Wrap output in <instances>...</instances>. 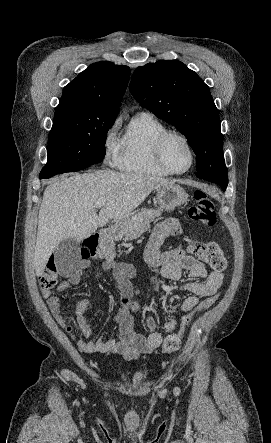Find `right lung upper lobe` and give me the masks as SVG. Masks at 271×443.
Segmentation results:
<instances>
[{"label":"right lung upper lobe","instance_id":"cb5924a9","mask_svg":"<svg viewBox=\"0 0 271 443\" xmlns=\"http://www.w3.org/2000/svg\"><path fill=\"white\" fill-rule=\"evenodd\" d=\"M129 77L126 66L93 63L64 87L57 107H72L93 118L117 116Z\"/></svg>","mask_w":271,"mask_h":443}]
</instances>
